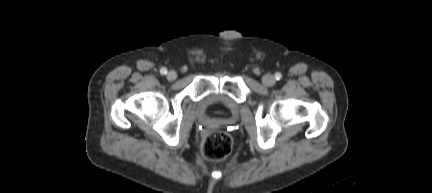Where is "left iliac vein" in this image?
I'll return each instance as SVG.
<instances>
[{
	"mask_svg": "<svg viewBox=\"0 0 432 193\" xmlns=\"http://www.w3.org/2000/svg\"><path fill=\"white\" fill-rule=\"evenodd\" d=\"M262 82L265 86H273L276 82L275 77L271 74H265L262 78Z\"/></svg>",
	"mask_w": 432,
	"mask_h": 193,
	"instance_id": "left-iliac-vein-1",
	"label": "left iliac vein"
}]
</instances>
